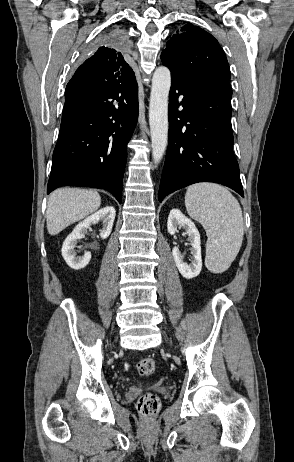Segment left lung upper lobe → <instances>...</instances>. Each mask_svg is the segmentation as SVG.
Here are the masks:
<instances>
[{
    "instance_id": "obj_1",
    "label": "left lung upper lobe",
    "mask_w": 294,
    "mask_h": 462,
    "mask_svg": "<svg viewBox=\"0 0 294 462\" xmlns=\"http://www.w3.org/2000/svg\"><path fill=\"white\" fill-rule=\"evenodd\" d=\"M162 63L171 78L183 83L229 84V64L218 41L205 30L192 24L182 27L171 37L161 54Z\"/></svg>"
}]
</instances>
